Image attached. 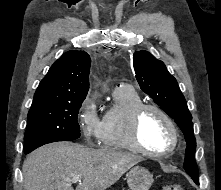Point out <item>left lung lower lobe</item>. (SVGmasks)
<instances>
[{"mask_svg": "<svg viewBox=\"0 0 221 190\" xmlns=\"http://www.w3.org/2000/svg\"><path fill=\"white\" fill-rule=\"evenodd\" d=\"M196 184H199V180L194 181Z\"/></svg>", "mask_w": 221, "mask_h": 190, "instance_id": "1", "label": "left lung lower lobe"}]
</instances>
